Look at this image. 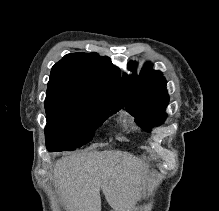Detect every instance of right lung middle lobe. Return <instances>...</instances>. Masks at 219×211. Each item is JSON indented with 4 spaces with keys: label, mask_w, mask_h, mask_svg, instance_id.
I'll return each instance as SVG.
<instances>
[{
    "label": "right lung middle lobe",
    "mask_w": 219,
    "mask_h": 211,
    "mask_svg": "<svg viewBox=\"0 0 219 211\" xmlns=\"http://www.w3.org/2000/svg\"><path fill=\"white\" fill-rule=\"evenodd\" d=\"M46 147L49 151L74 150L92 140L95 130L123 106L93 104L64 98H46Z\"/></svg>",
    "instance_id": "1"
}]
</instances>
